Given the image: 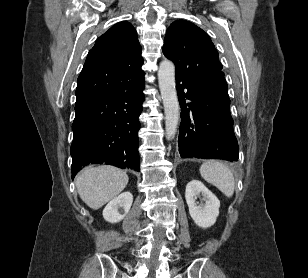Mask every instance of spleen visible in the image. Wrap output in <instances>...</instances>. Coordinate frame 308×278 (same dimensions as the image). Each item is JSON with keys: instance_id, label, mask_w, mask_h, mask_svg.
<instances>
[{"instance_id": "obj_1", "label": "spleen", "mask_w": 308, "mask_h": 278, "mask_svg": "<svg viewBox=\"0 0 308 278\" xmlns=\"http://www.w3.org/2000/svg\"><path fill=\"white\" fill-rule=\"evenodd\" d=\"M204 180L217 187L226 197H232L235 189L234 176L230 168L217 160H207L200 166Z\"/></svg>"}]
</instances>
